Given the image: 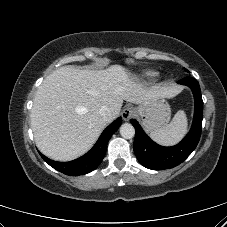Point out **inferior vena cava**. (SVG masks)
I'll return each mask as SVG.
<instances>
[{
  "mask_svg": "<svg viewBox=\"0 0 227 227\" xmlns=\"http://www.w3.org/2000/svg\"><path fill=\"white\" fill-rule=\"evenodd\" d=\"M99 114L105 121H108L112 117L111 110L105 105L100 107Z\"/></svg>",
  "mask_w": 227,
  "mask_h": 227,
  "instance_id": "obj_1",
  "label": "inferior vena cava"
}]
</instances>
